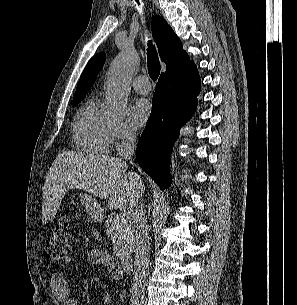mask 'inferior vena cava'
I'll return each instance as SVG.
<instances>
[{"label": "inferior vena cava", "mask_w": 297, "mask_h": 305, "mask_svg": "<svg viewBox=\"0 0 297 305\" xmlns=\"http://www.w3.org/2000/svg\"><path fill=\"white\" fill-rule=\"evenodd\" d=\"M123 151L122 157L131 159L135 152L136 134L133 130L125 129L122 133ZM140 196L137 197L134 206L135 225H136V250L133 271V283L131 288V302H138L140 305L144 302L145 297V280L150 263V242L146 226L145 209L139 202Z\"/></svg>", "instance_id": "inferior-vena-cava-1"}]
</instances>
